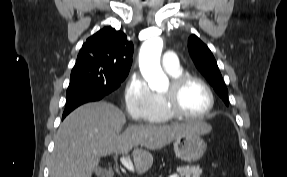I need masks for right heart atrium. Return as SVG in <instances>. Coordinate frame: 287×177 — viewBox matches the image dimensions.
<instances>
[{"label":"right heart atrium","instance_id":"d8ad5b80","mask_svg":"<svg viewBox=\"0 0 287 177\" xmlns=\"http://www.w3.org/2000/svg\"><path fill=\"white\" fill-rule=\"evenodd\" d=\"M123 97L126 110L135 123L150 120L155 99L144 78L132 74L125 84Z\"/></svg>","mask_w":287,"mask_h":177}]
</instances>
